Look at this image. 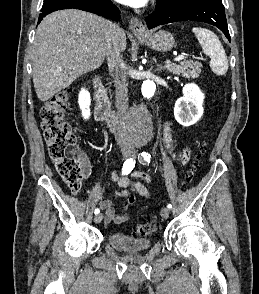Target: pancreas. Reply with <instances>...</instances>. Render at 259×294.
<instances>
[{"mask_svg":"<svg viewBox=\"0 0 259 294\" xmlns=\"http://www.w3.org/2000/svg\"><path fill=\"white\" fill-rule=\"evenodd\" d=\"M202 64L197 61H183L179 64L167 63L166 69L175 75H182L185 78H198L201 73Z\"/></svg>","mask_w":259,"mask_h":294,"instance_id":"cf45deb5","label":"pancreas"}]
</instances>
